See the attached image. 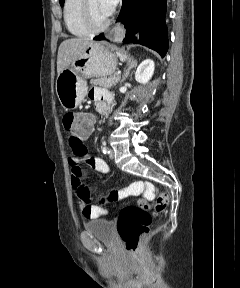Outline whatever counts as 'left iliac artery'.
<instances>
[{"label": "left iliac artery", "mask_w": 240, "mask_h": 288, "mask_svg": "<svg viewBox=\"0 0 240 288\" xmlns=\"http://www.w3.org/2000/svg\"><path fill=\"white\" fill-rule=\"evenodd\" d=\"M102 151L104 154H109L110 153V150L109 148L104 144V146L102 147Z\"/></svg>", "instance_id": "44dca946"}]
</instances>
